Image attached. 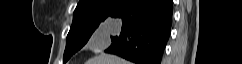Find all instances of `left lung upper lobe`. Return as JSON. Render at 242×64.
Here are the masks:
<instances>
[{"instance_id": "1", "label": "left lung upper lobe", "mask_w": 242, "mask_h": 64, "mask_svg": "<svg viewBox=\"0 0 242 64\" xmlns=\"http://www.w3.org/2000/svg\"><path fill=\"white\" fill-rule=\"evenodd\" d=\"M126 0H80L67 35L63 62L80 50L95 29Z\"/></svg>"}]
</instances>
